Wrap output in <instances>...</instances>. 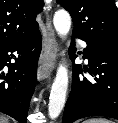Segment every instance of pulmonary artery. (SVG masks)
I'll return each instance as SVG.
<instances>
[{
	"label": "pulmonary artery",
	"instance_id": "pulmonary-artery-1",
	"mask_svg": "<svg viewBox=\"0 0 118 123\" xmlns=\"http://www.w3.org/2000/svg\"><path fill=\"white\" fill-rule=\"evenodd\" d=\"M79 44H80V46H81L82 49H85L86 43L84 41L80 40L79 41Z\"/></svg>",
	"mask_w": 118,
	"mask_h": 123
}]
</instances>
